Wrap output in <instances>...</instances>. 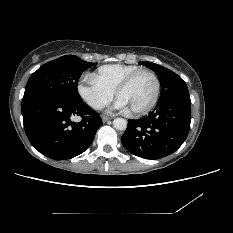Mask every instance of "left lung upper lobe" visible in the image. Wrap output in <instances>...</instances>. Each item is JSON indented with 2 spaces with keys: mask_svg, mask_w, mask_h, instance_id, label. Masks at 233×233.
<instances>
[{
  "mask_svg": "<svg viewBox=\"0 0 233 233\" xmlns=\"http://www.w3.org/2000/svg\"><path fill=\"white\" fill-rule=\"evenodd\" d=\"M140 63L152 69L159 77L161 94L158 104L175 96L189 93L184 80L173 71L152 62Z\"/></svg>",
  "mask_w": 233,
  "mask_h": 233,
  "instance_id": "left-lung-upper-lobe-1",
  "label": "left lung upper lobe"
}]
</instances>
